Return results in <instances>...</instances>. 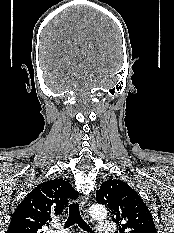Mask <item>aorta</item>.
I'll return each mask as SVG.
<instances>
[{
    "label": "aorta",
    "mask_w": 174,
    "mask_h": 233,
    "mask_svg": "<svg viewBox=\"0 0 174 233\" xmlns=\"http://www.w3.org/2000/svg\"><path fill=\"white\" fill-rule=\"evenodd\" d=\"M90 214L93 218L101 220L107 217V210L103 205L94 204L90 207Z\"/></svg>",
    "instance_id": "762f6f07"
}]
</instances>
